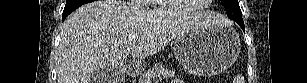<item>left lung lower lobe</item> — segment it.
Wrapping results in <instances>:
<instances>
[{"label":"left lung lower lobe","instance_id":"left-lung-lower-lobe-1","mask_svg":"<svg viewBox=\"0 0 307 83\" xmlns=\"http://www.w3.org/2000/svg\"><path fill=\"white\" fill-rule=\"evenodd\" d=\"M240 25V27L245 30V27H244V23H238Z\"/></svg>","mask_w":307,"mask_h":83}]
</instances>
